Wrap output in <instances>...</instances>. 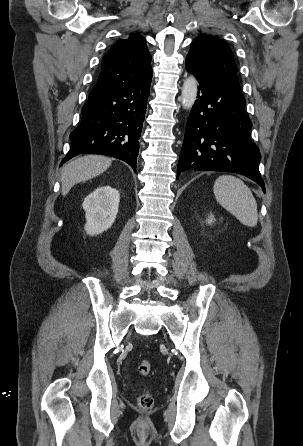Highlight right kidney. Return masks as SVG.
I'll return each instance as SVG.
<instances>
[{"label":"right kidney","mask_w":303,"mask_h":446,"mask_svg":"<svg viewBox=\"0 0 303 446\" xmlns=\"http://www.w3.org/2000/svg\"><path fill=\"white\" fill-rule=\"evenodd\" d=\"M119 202L120 194L111 186L98 187L89 194L82 204L87 234L94 236L107 231L116 219Z\"/></svg>","instance_id":"right-kidney-1"}]
</instances>
